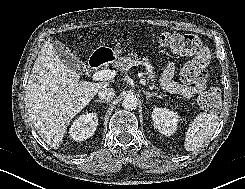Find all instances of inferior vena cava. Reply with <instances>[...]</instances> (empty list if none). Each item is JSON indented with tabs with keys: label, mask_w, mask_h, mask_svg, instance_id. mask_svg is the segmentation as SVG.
<instances>
[{
	"label": "inferior vena cava",
	"mask_w": 245,
	"mask_h": 189,
	"mask_svg": "<svg viewBox=\"0 0 245 189\" xmlns=\"http://www.w3.org/2000/svg\"><path fill=\"white\" fill-rule=\"evenodd\" d=\"M115 95V90L113 88L105 87L99 90L98 96L103 101L111 100Z\"/></svg>",
	"instance_id": "obj_1"
}]
</instances>
